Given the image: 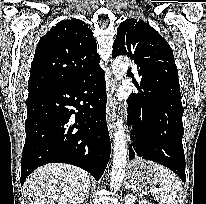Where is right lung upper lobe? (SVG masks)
<instances>
[{"instance_id": "1", "label": "right lung upper lobe", "mask_w": 206, "mask_h": 204, "mask_svg": "<svg viewBox=\"0 0 206 204\" xmlns=\"http://www.w3.org/2000/svg\"><path fill=\"white\" fill-rule=\"evenodd\" d=\"M92 31L79 19L63 20L38 42L31 64L29 92L73 84L99 68Z\"/></svg>"}]
</instances>
